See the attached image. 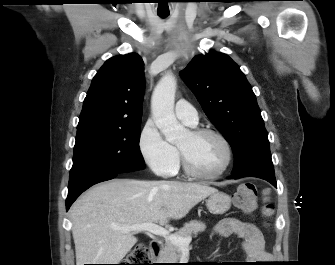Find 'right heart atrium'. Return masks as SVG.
Here are the masks:
<instances>
[{"label":"right heart atrium","instance_id":"1","mask_svg":"<svg viewBox=\"0 0 335 265\" xmlns=\"http://www.w3.org/2000/svg\"><path fill=\"white\" fill-rule=\"evenodd\" d=\"M138 147L143 160L156 175L169 176L176 171L178 151L163 137L153 120L144 124Z\"/></svg>","mask_w":335,"mask_h":265}]
</instances>
